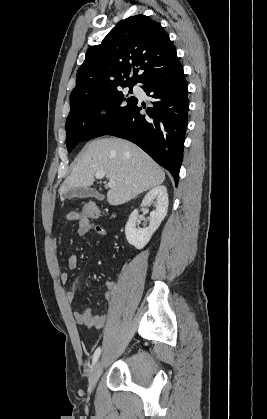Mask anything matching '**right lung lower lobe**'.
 Returning a JSON list of instances; mask_svg holds the SVG:
<instances>
[{"label": "right lung lower lobe", "instance_id": "obj_1", "mask_svg": "<svg viewBox=\"0 0 267 419\" xmlns=\"http://www.w3.org/2000/svg\"><path fill=\"white\" fill-rule=\"evenodd\" d=\"M140 83L153 98L152 107L141 113L136 100L129 112L106 134L127 139L150 155L179 180L188 124V84L179 60L169 67L150 73Z\"/></svg>", "mask_w": 267, "mask_h": 419}]
</instances>
